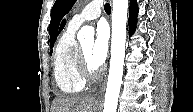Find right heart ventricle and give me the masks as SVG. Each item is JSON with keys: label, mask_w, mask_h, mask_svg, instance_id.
<instances>
[{"label": "right heart ventricle", "mask_w": 193, "mask_h": 112, "mask_svg": "<svg viewBox=\"0 0 193 112\" xmlns=\"http://www.w3.org/2000/svg\"><path fill=\"white\" fill-rule=\"evenodd\" d=\"M76 30L77 28L67 26L57 41L53 56L56 84L61 92L71 95L82 92L86 86L77 68Z\"/></svg>", "instance_id": "1"}]
</instances>
